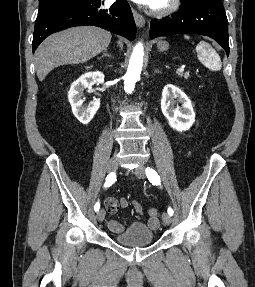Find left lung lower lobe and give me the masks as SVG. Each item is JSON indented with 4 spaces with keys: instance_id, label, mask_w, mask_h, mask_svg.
<instances>
[{
    "instance_id": "left-lung-lower-lobe-1",
    "label": "left lung lower lobe",
    "mask_w": 255,
    "mask_h": 287,
    "mask_svg": "<svg viewBox=\"0 0 255 287\" xmlns=\"http://www.w3.org/2000/svg\"><path fill=\"white\" fill-rule=\"evenodd\" d=\"M177 13L150 23V37L181 33L215 39L229 55L228 21L221 0H181Z\"/></svg>"
}]
</instances>
